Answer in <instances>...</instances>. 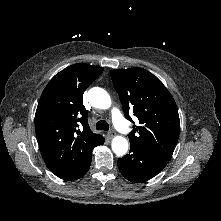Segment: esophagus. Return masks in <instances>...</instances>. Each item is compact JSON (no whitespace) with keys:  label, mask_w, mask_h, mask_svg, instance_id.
<instances>
[{"label":"esophagus","mask_w":221,"mask_h":221,"mask_svg":"<svg viewBox=\"0 0 221 221\" xmlns=\"http://www.w3.org/2000/svg\"><path fill=\"white\" fill-rule=\"evenodd\" d=\"M116 135V133L113 131V130H111V131H109L108 133H107V136H108V138H113L114 136Z\"/></svg>","instance_id":"34e87169"}]
</instances>
